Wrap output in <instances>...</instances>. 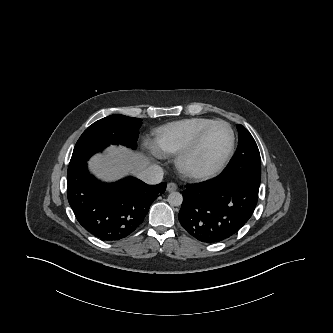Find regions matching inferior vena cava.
<instances>
[{
  "instance_id": "1",
  "label": "inferior vena cava",
  "mask_w": 333,
  "mask_h": 333,
  "mask_svg": "<svg viewBox=\"0 0 333 333\" xmlns=\"http://www.w3.org/2000/svg\"><path fill=\"white\" fill-rule=\"evenodd\" d=\"M137 177L147 184H158L163 179V169L158 165H149L137 172Z\"/></svg>"
}]
</instances>
